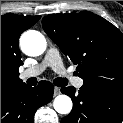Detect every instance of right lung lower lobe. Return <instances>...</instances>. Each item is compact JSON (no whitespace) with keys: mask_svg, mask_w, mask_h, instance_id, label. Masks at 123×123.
Returning a JSON list of instances; mask_svg holds the SVG:
<instances>
[{"mask_svg":"<svg viewBox=\"0 0 123 123\" xmlns=\"http://www.w3.org/2000/svg\"><path fill=\"white\" fill-rule=\"evenodd\" d=\"M54 86L48 81L38 86L1 89V123H33L36 110L53 98Z\"/></svg>","mask_w":123,"mask_h":123,"instance_id":"1","label":"right lung lower lobe"}]
</instances>
